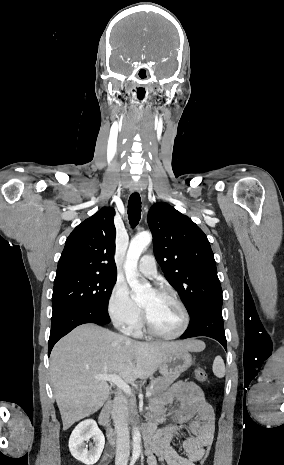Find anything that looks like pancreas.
I'll use <instances>...</instances> for the list:
<instances>
[{"label": "pancreas", "instance_id": "pancreas-1", "mask_svg": "<svg viewBox=\"0 0 284 465\" xmlns=\"http://www.w3.org/2000/svg\"><path fill=\"white\" fill-rule=\"evenodd\" d=\"M180 373H169V375H163V377H158V379H153L151 381L149 387H147L146 391H150L152 393L150 399H155L157 395H160V393H164V391H167L169 389L170 385L178 379ZM129 415H130V423H136L135 417L137 415L135 403L131 401L129 403Z\"/></svg>", "mask_w": 284, "mask_h": 465}]
</instances>
